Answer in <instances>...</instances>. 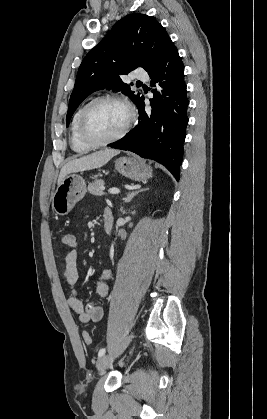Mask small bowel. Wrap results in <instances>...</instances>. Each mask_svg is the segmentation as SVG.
<instances>
[{
	"label": "small bowel",
	"instance_id": "c3829d8e",
	"mask_svg": "<svg viewBox=\"0 0 267 419\" xmlns=\"http://www.w3.org/2000/svg\"><path fill=\"white\" fill-rule=\"evenodd\" d=\"M112 216L110 212L104 213V218ZM63 276L66 280L70 294L67 297V304L78 315L82 323L99 322L104 316V310L101 306L95 303L84 304L78 291L76 290L77 284L80 279L78 268V251L76 245L69 248L64 256ZM112 273L109 269L102 270L97 278L96 293L99 297L104 298L109 293L108 281L111 279Z\"/></svg>",
	"mask_w": 267,
	"mask_h": 419
}]
</instances>
